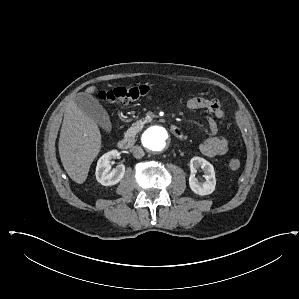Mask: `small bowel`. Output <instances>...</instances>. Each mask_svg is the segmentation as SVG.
Here are the masks:
<instances>
[{
	"label": "small bowel",
	"instance_id": "obj_1",
	"mask_svg": "<svg viewBox=\"0 0 299 299\" xmlns=\"http://www.w3.org/2000/svg\"><path fill=\"white\" fill-rule=\"evenodd\" d=\"M185 106L188 110L205 109L210 113L207 118L209 137L200 144V151L207 157L225 155L229 151L228 141L224 137L217 136L216 124V119L225 118L222 101L217 98L193 97L187 100Z\"/></svg>",
	"mask_w": 299,
	"mask_h": 299
}]
</instances>
